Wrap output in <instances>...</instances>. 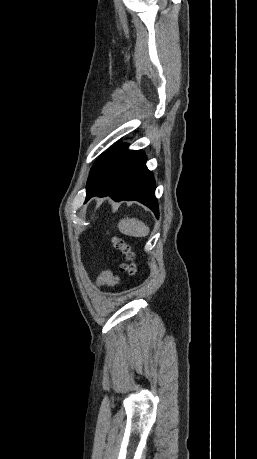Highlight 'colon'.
<instances>
[{
	"instance_id": "1",
	"label": "colon",
	"mask_w": 257,
	"mask_h": 459,
	"mask_svg": "<svg viewBox=\"0 0 257 459\" xmlns=\"http://www.w3.org/2000/svg\"><path fill=\"white\" fill-rule=\"evenodd\" d=\"M114 247L118 249L124 256V262L120 266L122 273L133 275L136 271L135 254L131 246L121 238H116L113 241Z\"/></svg>"
}]
</instances>
